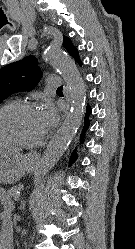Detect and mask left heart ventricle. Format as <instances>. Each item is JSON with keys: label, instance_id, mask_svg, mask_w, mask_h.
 Masks as SVG:
<instances>
[{"label": "left heart ventricle", "instance_id": "b2bd125f", "mask_svg": "<svg viewBox=\"0 0 135 249\" xmlns=\"http://www.w3.org/2000/svg\"><path fill=\"white\" fill-rule=\"evenodd\" d=\"M0 125L4 132L24 141H36L44 134L37 109L11 110L2 117Z\"/></svg>", "mask_w": 135, "mask_h": 249}]
</instances>
